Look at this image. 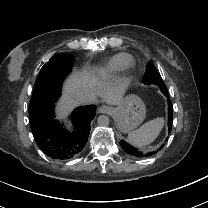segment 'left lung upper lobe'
I'll return each instance as SVG.
<instances>
[{"label": "left lung upper lobe", "mask_w": 208, "mask_h": 208, "mask_svg": "<svg viewBox=\"0 0 208 208\" xmlns=\"http://www.w3.org/2000/svg\"><path fill=\"white\" fill-rule=\"evenodd\" d=\"M144 84L158 85L161 87V91L163 92V94L167 93L166 85L163 82L160 74L158 73V71L156 70L155 66L152 63L149 64L147 74L145 75V78H144Z\"/></svg>", "instance_id": "1"}]
</instances>
